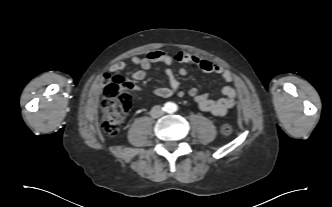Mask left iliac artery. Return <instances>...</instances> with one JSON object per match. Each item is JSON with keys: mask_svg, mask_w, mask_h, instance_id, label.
<instances>
[{"mask_svg": "<svg viewBox=\"0 0 332 207\" xmlns=\"http://www.w3.org/2000/svg\"><path fill=\"white\" fill-rule=\"evenodd\" d=\"M173 110H174V111L177 110V106H176V105L173 106Z\"/></svg>", "mask_w": 332, "mask_h": 207, "instance_id": "44dca946", "label": "left iliac artery"}]
</instances>
